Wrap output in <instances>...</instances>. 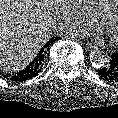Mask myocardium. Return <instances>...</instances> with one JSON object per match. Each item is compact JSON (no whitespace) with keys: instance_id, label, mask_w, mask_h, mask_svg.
<instances>
[{"instance_id":"obj_1","label":"myocardium","mask_w":118,"mask_h":118,"mask_svg":"<svg viewBox=\"0 0 118 118\" xmlns=\"http://www.w3.org/2000/svg\"><path fill=\"white\" fill-rule=\"evenodd\" d=\"M117 4H118V0H113L112 3L107 8V10L105 11L103 17L100 19H97V18L95 19V22L98 25V27L104 28L107 31H110L113 23L118 17V12L116 9ZM109 35H110L111 43L118 46V36H113L112 34H109Z\"/></svg>"}]
</instances>
